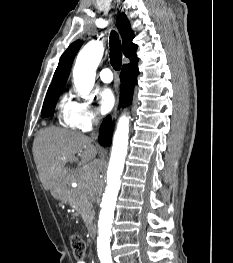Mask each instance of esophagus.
Returning a JSON list of instances; mask_svg holds the SVG:
<instances>
[{
    "mask_svg": "<svg viewBox=\"0 0 233 263\" xmlns=\"http://www.w3.org/2000/svg\"><path fill=\"white\" fill-rule=\"evenodd\" d=\"M117 108H118V97H117V102H116L115 108L113 110V114H112L113 116L116 114Z\"/></svg>",
    "mask_w": 233,
    "mask_h": 263,
    "instance_id": "obj_1",
    "label": "esophagus"
}]
</instances>
